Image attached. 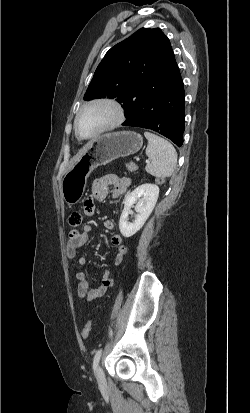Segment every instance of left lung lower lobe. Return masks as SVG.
Returning <instances> with one entry per match:
<instances>
[{"mask_svg": "<svg viewBox=\"0 0 250 413\" xmlns=\"http://www.w3.org/2000/svg\"><path fill=\"white\" fill-rule=\"evenodd\" d=\"M125 105V126L156 131L177 146L183 143L184 86L173 51L163 75L145 80Z\"/></svg>", "mask_w": 250, "mask_h": 413, "instance_id": "left-lung-lower-lobe-1", "label": "left lung lower lobe"}]
</instances>
